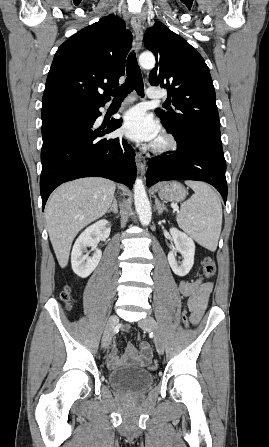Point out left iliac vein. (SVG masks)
Here are the masks:
<instances>
[{
  "label": "left iliac vein",
  "mask_w": 269,
  "mask_h": 447,
  "mask_svg": "<svg viewBox=\"0 0 269 447\" xmlns=\"http://www.w3.org/2000/svg\"><path fill=\"white\" fill-rule=\"evenodd\" d=\"M139 326L141 328L145 327L149 328V330L154 333V342L157 348V352L159 354H162L164 350V342H163V335L158 322L152 316L148 315L142 320H140Z\"/></svg>",
  "instance_id": "left-iliac-vein-1"
}]
</instances>
